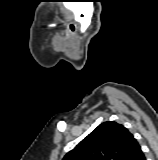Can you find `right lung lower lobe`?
<instances>
[{
  "mask_svg": "<svg viewBox=\"0 0 158 160\" xmlns=\"http://www.w3.org/2000/svg\"><path fill=\"white\" fill-rule=\"evenodd\" d=\"M135 160H146L144 153L141 152V153L135 158Z\"/></svg>",
  "mask_w": 158,
  "mask_h": 160,
  "instance_id": "obj_1",
  "label": "right lung lower lobe"
}]
</instances>
